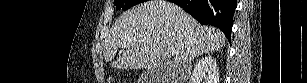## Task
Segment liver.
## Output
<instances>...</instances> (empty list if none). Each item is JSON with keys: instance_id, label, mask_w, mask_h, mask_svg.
<instances>
[{"instance_id": "obj_1", "label": "liver", "mask_w": 307, "mask_h": 83, "mask_svg": "<svg viewBox=\"0 0 307 83\" xmlns=\"http://www.w3.org/2000/svg\"><path fill=\"white\" fill-rule=\"evenodd\" d=\"M224 43L221 31L201 26L179 6L151 0L116 20L104 43V58L112 61L122 49L115 67L159 70L166 50L173 49L175 65L180 68L198 56L220 50Z\"/></svg>"}]
</instances>
